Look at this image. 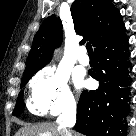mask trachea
<instances>
[{
    "label": "trachea",
    "mask_w": 136,
    "mask_h": 136,
    "mask_svg": "<svg viewBox=\"0 0 136 136\" xmlns=\"http://www.w3.org/2000/svg\"><path fill=\"white\" fill-rule=\"evenodd\" d=\"M86 49H87L88 55H94L92 45L90 43L86 44Z\"/></svg>",
    "instance_id": "1"
}]
</instances>
